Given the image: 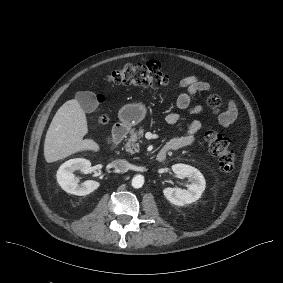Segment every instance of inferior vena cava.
Masks as SVG:
<instances>
[{"instance_id": "602c4592", "label": "inferior vena cava", "mask_w": 283, "mask_h": 283, "mask_svg": "<svg viewBox=\"0 0 283 283\" xmlns=\"http://www.w3.org/2000/svg\"><path fill=\"white\" fill-rule=\"evenodd\" d=\"M115 169L119 170L122 173L127 172L128 164L124 160H118L117 162H115Z\"/></svg>"}]
</instances>
